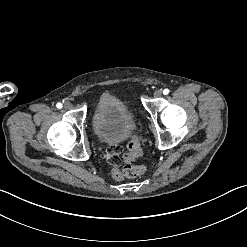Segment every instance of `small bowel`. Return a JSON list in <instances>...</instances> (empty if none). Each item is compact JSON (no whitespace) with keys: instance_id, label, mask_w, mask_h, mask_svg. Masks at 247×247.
Segmentation results:
<instances>
[{"instance_id":"c3829d8e","label":"small bowel","mask_w":247,"mask_h":247,"mask_svg":"<svg viewBox=\"0 0 247 247\" xmlns=\"http://www.w3.org/2000/svg\"><path fill=\"white\" fill-rule=\"evenodd\" d=\"M122 154V149L119 146H113L108 150V155L111 157L109 159V164L112 167H117L120 164V159L118 158Z\"/></svg>"}]
</instances>
